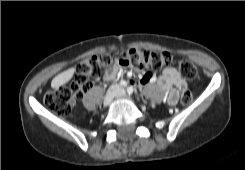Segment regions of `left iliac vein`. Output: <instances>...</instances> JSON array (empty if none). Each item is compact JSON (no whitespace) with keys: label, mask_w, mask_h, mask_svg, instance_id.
<instances>
[{"label":"left iliac vein","mask_w":245,"mask_h":170,"mask_svg":"<svg viewBox=\"0 0 245 170\" xmlns=\"http://www.w3.org/2000/svg\"><path fill=\"white\" fill-rule=\"evenodd\" d=\"M116 97L117 98H127V99H130L129 96H126V93H125V89L124 88L118 89V93H117Z\"/></svg>","instance_id":"obj_1"}]
</instances>
